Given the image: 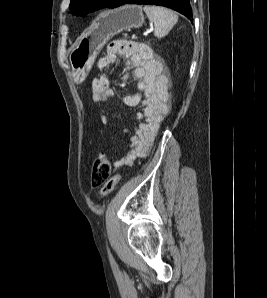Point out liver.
Masks as SVG:
<instances>
[{"mask_svg":"<svg viewBox=\"0 0 267 298\" xmlns=\"http://www.w3.org/2000/svg\"><path fill=\"white\" fill-rule=\"evenodd\" d=\"M87 35H88V33H86L84 36H87ZM84 36H83V37H84Z\"/></svg>","mask_w":267,"mask_h":298,"instance_id":"liver-1","label":"liver"}]
</instances>
